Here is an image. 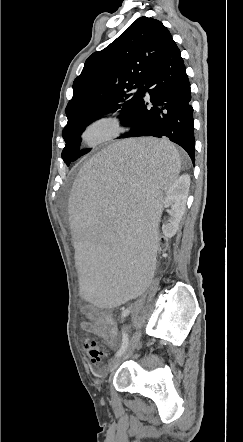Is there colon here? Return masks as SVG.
I'll return each instance as SVG.
<instances>
[{
    "label": "colon",
    "instance_id": "5ec220e1",
    "mask_svg": "<svg viewBox=\"0 0 243 442\" xmlns=\"http://www.w3.org/2000/svg\"><path fill=\"white\" fill-rule=\"evenodd\" d=\"M155 234L158 238L156 243V246L158 247L157 251L160 253V256H163V254L167 252L168 247L167 235L162 228L157 229L155 231ZM83 351L87 354L91 362L95 365H101L106 355L105 350L100 347L97 339L93 337L86 338L83 341Z\"/></svg>",
    "mask_w": 243,
    "mask_h": 442
}]
</instances>
